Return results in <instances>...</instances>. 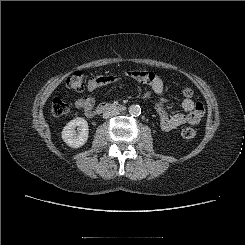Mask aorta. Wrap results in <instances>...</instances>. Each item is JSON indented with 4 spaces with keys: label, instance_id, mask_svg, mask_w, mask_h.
I'll list each match as a JSON object with an SVG mask.
<instances>
[{
    "label": "aorta",
    "instance_id": "aorta-1",
    "mask_svg": "<svg viewBox=\"0 0 245 245\" xmlns=\"http://www.w3.org/2000/svg\"><path fill=\"white\" fill-rule=\"evenodd\" d=\"M129 113L132 116H139L141 114V108L139 105H132L129 107Z\"/></svg>",
    "mask_w": 245,
    "mask_h": 245
}]
</instances>
